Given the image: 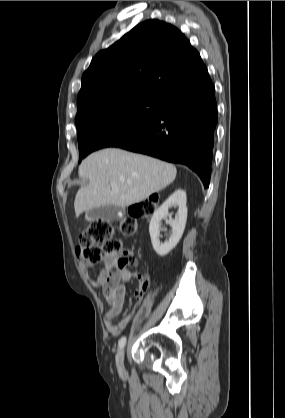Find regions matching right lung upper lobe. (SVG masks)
I'll use <instances>...</instances> for the list:
<instances>
[{"instance_id": "1", "label": "right lung upper lobe", "mask_w": 285, "mask_h": 418, "mask_svg": "<svg viewBox=\"0 0 285 418\" xmlns=\"http://www.w3.org/2000/svg\"><path fill=\"white\" fill-rule=\"evenodd\" d=\"M207 73L198 51L178 28L147 20L93 58L82 76L76 123L115 105L161 104Z\"/></svg>"}]
</instances>
